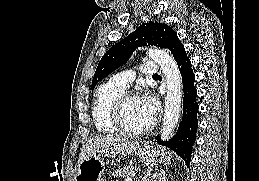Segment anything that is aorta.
Segmentation results:
<instances>
[{"mask_svg":"<svg viewBox=\"0 0 259 181\" xmlns=\"http://www.w3.org/2000/svg\"><path fill=\"white\" fill-rule=\"evenodd\" d=\"M149 57L161 67L167 84L165 114L161 128V139L168 140L179 121L182 102V78L174 58L166 51L150 49Z\"/></svg>","mask_w":259,"mask_h":181,"instance_id":"obj_1","label":"aorta"}]
</instances>
